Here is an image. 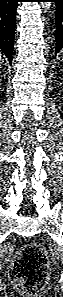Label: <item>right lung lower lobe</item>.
I'll list each match as a JSON object with an SVG mask.
<instances>
[{
	"label": "right lung lower lobe",
	"mask_w": 63,
	"mask_h": 297,
	"mask_svg": "<svg viewBox=\"0 0 63 297\" xmlns=\"http://www.w3.org/2000/svg\"><path fill=\"white\" fill-rule=\"evenodd\" d=\"M19 0H0V50L12 62L16 24V7Z\"/></svg>",
	"instance_id": "right-lung-lower-lobe-1"
}]
</instances>
